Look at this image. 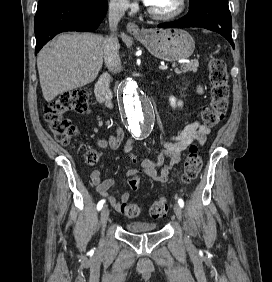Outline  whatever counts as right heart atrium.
<instances>
[{
  "instance_id": "1",
  "label": "right heart atrium",
  "mask_w": 272,
  "mask_h": 282,
  "mask_svg": "<svg viewBox=\"0 0 272 282\" xmlns=\"http://www.w3.org/2000/svg\"><path fill=\"white\" fill-rule=\"evenodd\" d=\"M109 6L111 11L118 14H122L134 7L128 0H110Z\"/></svg>"
}]
</instances>
